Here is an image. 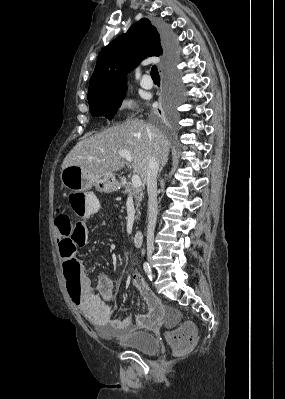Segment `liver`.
Listing matches in <instances>:
<instances>
[{"label":"liver","mask_w":285,"mask_h":399,"mask_svg":"<svg viewBox=\"0 0 285 399\" xmlns=\"http://www.w3.org/2000/svg\"><path fill=\"white\" fill-rule=\"evenodd\" d=\"M170 142L156 127L141 120L126 121L83 139L67 154L62 169L79 166L91 177L114 175L126 161L119 151L132 157V167L146 182L150 155L164 166L168 160Z\"/></svg>","instance_id":"6515ba94"}]
</instances>
